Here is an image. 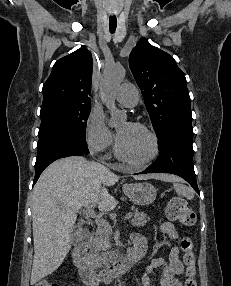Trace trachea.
Listing matches in <instances>:
<instances>
[{"instance_id":"trachea-1","label":"trachea","mask_w":231,"mask_h":286,"mask_svg":"<svg viewBox=\"0 0 231 286\" xmlns=\"http://www.w3.org/2000/svg\"><path fill=\"white\" fill-rule=\"evenodd\" d=\"M116 26H117L116 16H110V18H109V29H110L111 34H113L115 32Z\"/></svg>"}]
</instances>
